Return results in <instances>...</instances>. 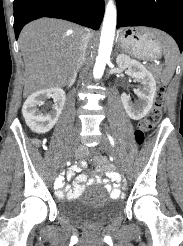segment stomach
Masks as SVG:
<instances>
[{
	"label": "stomach",
	"instance_id": "stomach-1",
	"mask_svg": "<svg viewBox=\"0 0 183 246\" xmlns=\"http://www.w3.org/2000/svg\"><path fill=\"white\" fill-rule=\"evenodd\" d=\"M155 31L146 28H126L119 33V42L128 53L141 59L160 57L162 47L155 37Z\"/></svg>",
	"mask_w": 183,
	"mask_h": 246
}]
</instances>
